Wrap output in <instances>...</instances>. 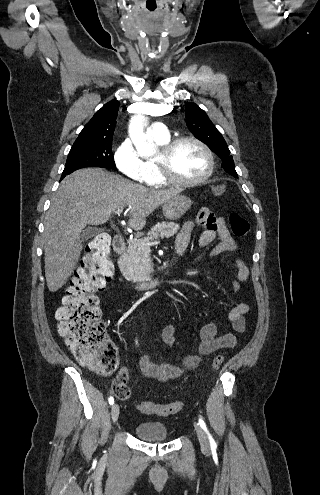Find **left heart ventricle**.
I'll use <instances>...</instances> for the list:
<instances>
[{"label":"left heart ventricle","mask_w":320,"mask_h":495,"mask_svg":"<svg viewBox=\"0 0 320 495\" xmlns=\"http://www.w3.org/2000/svg\"><path fill=\"white\" fill-rule=\"evenodd\" d=\"M171 167L178 177L195 179L207 171L208 161L196 144L184 142L175 149L171 158Z\"/></svg>","instance_id":"left-heart-ventricle-1"}]
</instances>
